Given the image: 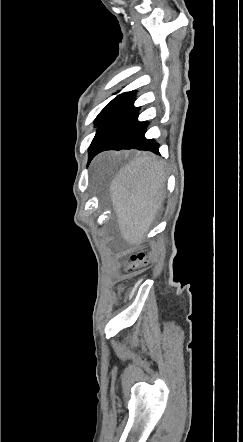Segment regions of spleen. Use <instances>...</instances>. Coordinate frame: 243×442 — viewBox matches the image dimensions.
Instances as JSON below:
<instances>
[{
	"instance_id": "spleen-1",
	"label": "spleen",
	"mask_w": 243,
	"mask_h": 442,
	"mask_svg": "<svg viewBox=\"0 0 243 442\" xmlns=\"http://www.w3.org/2000/svg\"><path fill=\"white\" fill-rule=\"evenodd\" d=\"M159 169V164L144 154L127 165L119 178H111L109 181L111 187H118L114 201L119 202L121 230L126 238L143 235L150 226L151 215L158 212L154 202L160 201L159 193L132 192H160L162 186L155 178Z\"/></svg>"
}]
</instances>
